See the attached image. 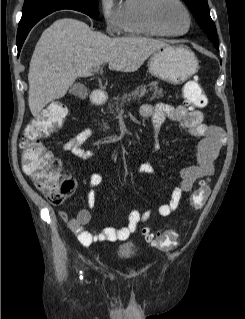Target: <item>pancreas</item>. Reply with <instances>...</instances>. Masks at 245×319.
<instances>
[{"instance_id":"1","label":"pancreas","mask_w":245,"mask_h":319,"mask_svg":"<svg viewBox=\"0 0 245 319\" xmlns=\"http://www.w3.org/2000/svg\"><path fill=\"white\" fill-rule=\"evenodd\" d=\"M148 91L152 92V97L150 98V100L159 99L163 97V88H159L158 82L153 81L147 85L138 86L135 90L131 91L128 94H123L121 97H114L108 103L109 113L115 114V111H119L123 103H125L126 101L141 99L146 93H148ZM108 129L109 126L106 123H104V130Z\"/></svg>"}]
</instances>
